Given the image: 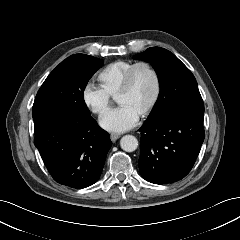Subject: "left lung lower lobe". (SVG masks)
Segmentation results:
<instances>
[{"mask_svg": "<svg viewBox=\"0 0 240 240\" xmlns=\"http://www.w3.org/2000/svg\"><path fill=\"white\" fill-rule=\"evenodd\" d=\"M204 112L174 111L155 122H144L140 158L142 177L154 184L183 179L192 169L204 141Z\"/></svg>", "mask_w": 240, "mask_h": 240, "instance_id": "obj_1", "label": "left lung lower lobe"}]
</instances>
